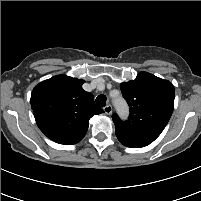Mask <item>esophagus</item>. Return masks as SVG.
Returning a JSON list of instances; mask_svg holds the SVG:
<instances>
[{
    "label": "esophagus",
    "instance_id": "obj_1",
    "mask_svg": "<svg viewBox=\"0 0 201 201\" xmlns=\"http://www.w3.org/2000/svg\"><path fill=\"white\" fill-rule=\"evenodd\" d=\"M112 111H113V108L110 104H108L104 107L105 114L110 115L112 113Z\"/></svg>",
    "mask_w": 201,
    "mask_h": 201
}]
</instances>
